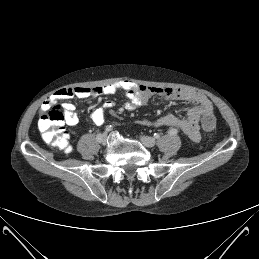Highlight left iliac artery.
I'll return each instance as SVG.
<instances>
[{"instance_id":"obj_1","label":"left iliac artery","mask_w":259,"mask_h":259,"mask_svg":"<svg viewBox=\"0 0 259 259\" xmlns=\"http://www.w3.org/2000/svg\"><path fill=\"white\" fill-rule=\"evenodd\" d=\"M177 129H175V128H172V129H170L169 131H168V133L170 134V135H175V134H177Z\"/></svg>"}]
</instances>
